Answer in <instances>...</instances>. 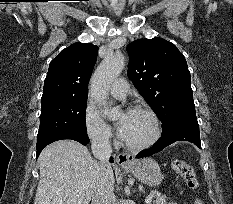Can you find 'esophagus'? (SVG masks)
Here are the masks:
<instances>
[{"label": "esophagus", "mask_w": 233, "mask_h": 204, "mask_svg": "<svg viewBox=\"0 0 233 204\" xmlns=\"http://www.w3.org/2000/svg\"><path fill=\"white\" fill-rule=\"evenodd\" d=\"M116 162L121 167L129 166L133 163V156L126 153H119L116 157Z\"/></svg>", "instance_id": "1"}]
</instances>
